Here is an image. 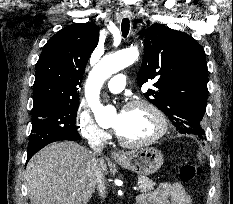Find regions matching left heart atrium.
I'll return each mask as SVG.
<instances>
[{
    "instance_id": "39dd6f15",
    "label": "left heart atrium",
    "mask_w": 233,
    "mask_h": 204,
    "mask_svg": "<svg viewBox=\"0 0 233 204\" xmlns=\"http://www.w3.org/2000/svg\"><path fill=\"white\" fill-rule=\"evenodd\" d=\"M123 115V111H120L119 113H118V116L119 117H121ZM116 130V129H115Z\"/></svg>"
}]
</instances>
